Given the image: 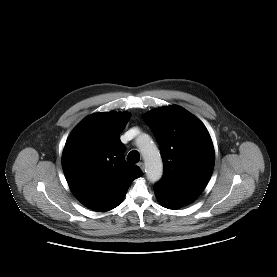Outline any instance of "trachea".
<instances>
[{
  "instance_id": "3493384b",
  "label": "trachea",
  "mask_w": 277,
  "mask_h": 277,
  "mask_svg": "<svg viewBox=\"0 0 277 277\" xmlns=\"http://www.w3.org/2000/svg\"><path fill=\"white\" fill-rule=\"evenodd\" d=\"M127 160L131 163H138L140 161V154L138 151L133 150L128 154Z\"/></svg>"
}]
</instances>
